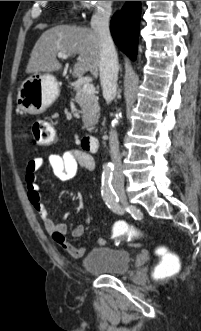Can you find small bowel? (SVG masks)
Wrapping results in <instances>:
<instances>
[{"instance_id": "1", "label": "small bowel", "mask_w": 201, "mask_h": 331, "mask_svg": "<svg viewBox=\"0 0 201 331\" xmlns=\"http://www.w3.org/2000/svg\"><path fill=\"white\" fill-rule=\"evenodd\" d=\"M48 163L54 175L61 180H69L76 174L77 168L83 167L89 171L95 169L94 159L86 152L78 149H65L61 153H51L45 160L42 157L30 159L25 167V183L28 200L35 212L41 218L44 227L53 237L57 245L74 258H80L85 253L84 247H76L66 239L67 227L64 223H56L49 215L41 200L37 172ZM68 215V214H67ZM66 215V216H67ZM85 233L83 225H77L72 230V236L82 237ZM99 244H104V238L98 239Z\"/></svg>"}]
</instances>
